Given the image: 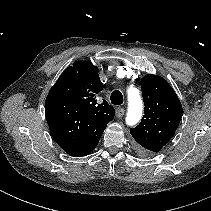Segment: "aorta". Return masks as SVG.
<instances>
[{
    "instance_id": "aorta-1",
    "label": "aorta",
    "mask_w": 211,
    "mask_h": 211,
    "mask_svg": "<svg viewBox=\"0 0 211 211\" xmlns=\"http://www.w3.org/2000/svg\"><path fill=\"white\" fill-rule=\"evenodd\" d=\"M143 112V101L139 92L135 88L128 89V112L126 116V124L134 126L141 119Z\"/></svg>"
}]
</instances>
